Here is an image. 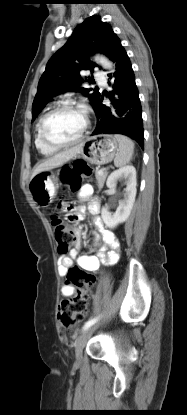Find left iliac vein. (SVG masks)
I'll list each match as a JSON object with an SVG mask.
<instances>
[{
  "label": "left iliac vein",
  "mask_w": 187,
  "mask_h": 415,
  "mask_svg": "<svg viewBox=\"0 0 187 415\" xmlns=\"http://www.w3.org/2000/svg\"><path fill=\"white\" fill-rule=\"evenodd\" d=\"M96 328L97 325H91L90 327L85 329V331L77 339L75 345V357L77 363H81L83 357V349Z\"/></svg>",
  "instance_id": "4c4485c4"
}]
</instances>
